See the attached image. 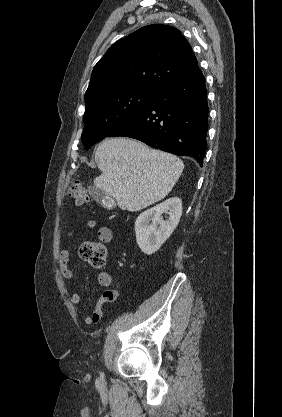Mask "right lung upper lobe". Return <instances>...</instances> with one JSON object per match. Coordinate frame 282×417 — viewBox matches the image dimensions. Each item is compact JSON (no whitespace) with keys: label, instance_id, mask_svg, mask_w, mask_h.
Returning <instances> with one entry per match:
<instances>
[{"label":"right lung upper lobe","instance_id":"1","mask_svg":"<svg viewBox=\"0 0 282 417\" xmlns=\"http://www.w3.org/2000/svg\"><path fill=\"white\" fill-rule=\"evenodd\" d=\"M198 68L190 44L178 29L145 26L113 44L95 65L85 100L128 88L157 91Z\"/></svg>","mask_w":282,"mask_h":417}]
</instances>
